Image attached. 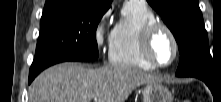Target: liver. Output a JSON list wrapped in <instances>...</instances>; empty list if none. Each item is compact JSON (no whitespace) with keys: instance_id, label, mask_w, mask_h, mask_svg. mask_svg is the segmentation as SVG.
I'll return each instance as SVG.
<instances>
[{"instance_id":"obj_1","label":"liver","mask_w":221,"mask_h":102,"mask_svg":"<svg viewBox=\"0 0 221 102\" xmlns=\"http://www.w3.org/2000/svg\"><path fill=\"white\" fill-rule=\"evenodd\" d=\"M151 74L127 66L96 69L58 64L43 71L30 85L29 102H125L142 84L157 82Z\"/></svg>"}]
</instances>
